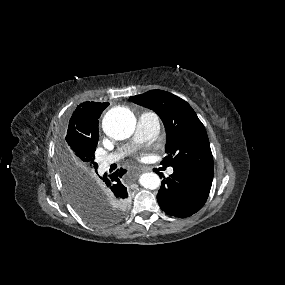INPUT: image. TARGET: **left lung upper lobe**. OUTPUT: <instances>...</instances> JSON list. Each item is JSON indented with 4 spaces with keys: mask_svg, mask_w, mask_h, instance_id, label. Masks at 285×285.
Returning <instances> with one entry per match:
<instances>
[{
    "mask_svg": "<svg viewBox=\"0 0 285 285\" xmlns=\"http://www.w3.org/2000/svg\"><path fill=\"white\" fill-rule=\"evenodd\" d=\"M159 115L166 130L167 156L163 166L213 170V156L202 122L183 99L162 90H151L129 98Z\"/></svg>",
    "mask_w": 285,
    "mask_h": 285,
    "instance_id": "5c2ea615",
    "label": "left lung upper lobe"
}]
</instances>
